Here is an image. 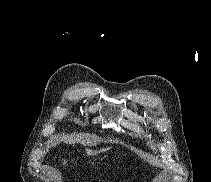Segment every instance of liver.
<instances>
[{"label":"liver","mask_w":211,"mask_h":182,"mask_svg":"<svg viewBox=\"0 0 211 182\" xmlns=\"http://www.w3.org/2000/svg\"><path fill=\"white\" fill-rule=\"evenodd\" d=\"M86 152H87L88 155H95V154H97V151H93V150H90V149H87Z\"/></svg>","instance_id":"1"}]
</instances>
